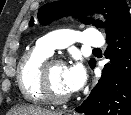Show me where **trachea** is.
<instances>
[{
	"mask_svg": "<svg viewBox=\"0 0 131 115\" xmlns=\"http://www.w3.org/2000/svg\"><path fill=\"white\" fill-rule=\"evenodd\" d=\"M93 50H100L99 48H94Z\"/></svg>",
	"mask_w": 131,
	"mask_h": 115,
	"instance_id": "1",
	"label": "trachea"
}]
</instances>
